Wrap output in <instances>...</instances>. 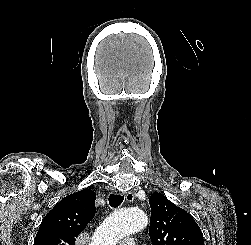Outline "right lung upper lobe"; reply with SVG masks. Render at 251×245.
I'll return each mask as SVG.
<instances>
[{
    "instance_id": "obj_1",
    "label": "right lung upper lobe",
    "mask_w": 251,
    "mask_h": 245,
    "mask_svg": "<svg viewBox=\"0 0 251 245\" xmlns=\"http://www.w3.org/2000/svg\"><path fill=\"white\" fill-rule=\"evenodd\" d=\"M95 199L91 189L63 198L42 220L34 245H74L95 215Z\"/></svg>"
}]
</instances>
